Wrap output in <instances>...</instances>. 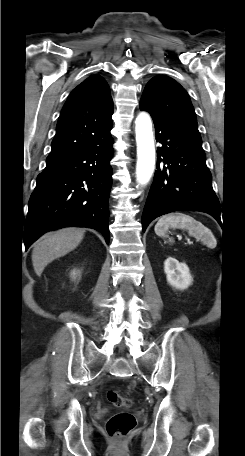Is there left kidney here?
I'll return each instance as SVG.
<instances>
[{"label":"left kidney","mask_w":245,"mask_h":456,"mask_svg":"<svg viewBox=\"0 0 245 456\" xmlns=\"http://www.w3.org/2000/svg\"><path fill=\"white\" fill-rule=\"evenodd\" d=\"M164 271L167 275L168 283L176 289L184 290L192 283L188 266L173 257H168L165 260Z\"/></svg>","instance_id":"left-kidney-1"}]
</instances>
